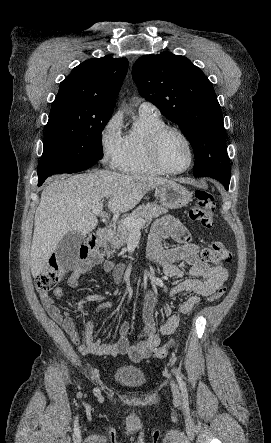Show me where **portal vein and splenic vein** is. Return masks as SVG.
<instances>
[{
  "mask_svg": "<svg viewBox=\"0 0 271 443\" xmlns=\"http://www.w3.org/2000/svg\"><path fill=\"white\" fill-rule=\"evenodd\" d=\"M103 210V204H96V206H93L92 208V214H95V216H100L102 214ZM122 225H126V227H131V225H134V227H140V225H144L145 220H136V218H124V220H121Z\"/></svg>",
  "mask_w": 271,
  "mask_h": 443,
  "instance_id": "portal-vein-and-splenic-vein-1",
  "label": "portal vein and splenic vein"
}]
</instances>
